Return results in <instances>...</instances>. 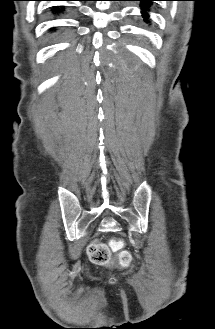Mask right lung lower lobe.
<instances>
[{"instance_id": "right-lung-lower-lobe-1", "label": "right lung lower lobe", "mask_w": 215, "mask_h": 329, "mask_svg": "<svg viewBox=\"0 0 215 329\" xmlns=\"http://www.w3.org/2000/svg\"><path fill=\"white\" fill-rule=\"evenodd\" d=\"M52 11L58 13V12L63 11V8L60 9V8H56V7H54V8L52 9Z\"/></svg>"}]
</instances>
